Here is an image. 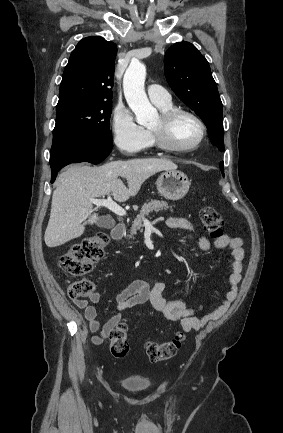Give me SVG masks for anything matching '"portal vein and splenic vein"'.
<instances>
[{"label": "portal vein and splenic vein", "instance_id": "18ae733b", "mask_svg": "<svg viewBox=\"0 0 283 433\" xmlns=\"http://www.w3.org/2000/svg\"><path fill=\"white\" fill-rule=\"evenodd\" d=\"M90 202H94L96 206H107V208H110V210H112V212H115V214H120V217H124V214H126V210H124L122 206H119L117 202H114L111 196H108V198H90ZM143 223L144 225H147L149 221H147V219H144Z\"/></svg>", "mask_w": 283, "mask_h": 433}]
</instances>
